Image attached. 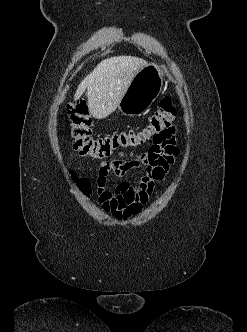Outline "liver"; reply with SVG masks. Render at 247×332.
<instances>
[{"instance_id": "liver-1", "label": "liver", "mask_w": 247, "mask_h": 332, "mask_svg": "<svg viewBox=\"0 0 247 332\" xmlns=\"http://www.w3.org/2000/svg\"><path fill=\"white\" fill-rule=\"evenodd\" d=\"M147 62L133 56L102 60L79 84L75 99L87 89L88 108L96 119H104L118 107L135 74Z\"/></svg>"}]
</instances>
